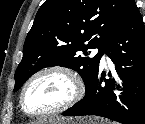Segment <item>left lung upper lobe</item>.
<instances>
[{
    "mask_svg": "<svg viewBox=\"0 0 145 124\" xmlns=\"http://www.w3.org/2000/svg\"><path fill=\"white\" fill-rule=\"evenodd\" d=\"M134 6V0H47L26 37L14 91L40 69L60 65L77 71L87 92L101 56ZM94 48L99 49L94 57L80 55L83 51L88 56L85 51Z\"/></svg>",
    "mask_w": 145,
    "mask_h": 124,
    "instance_id": "1",
    "label": "left lung upper lobe"
}]
</instances>
